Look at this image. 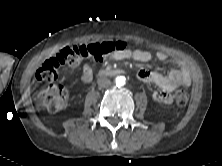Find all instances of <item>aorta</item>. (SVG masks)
Segmentation results:
<instances>
[{
  "label": "aorta",
  "mask_w": 222,
  "mask_h": 166,
  "mask_svg": "<svg viewBox=\"0 0 222 166\" xmlns=\"http://www.w3.org/2000/svg\"><path fill=\"white\" fill-rule=\"evenodd\" d=\"M126 78L124 76H118L115 78L116 85L118 87L125 85Z\"/></svg>",
  "instance_id": "1"
}]
</instances>
